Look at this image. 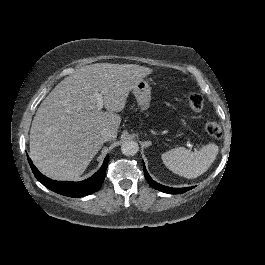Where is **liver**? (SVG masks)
I'll list each match as a JSON object with an SVG mask.
<instances>
[{
	"label": "liver",
	"mask_w": 265,
	"mask_h": 265,
	"mask_svg": "<svg viewBox=\"0 0 265 265\" xmlns=\"http://www.w3.org/2000/svg\"><path fill=\"white\" fill-rule=\"evenodd\" d=\"M152 69L135 64L94 63L62 80L42 101L29 135V155L46 177L74 181L102 147V131L116 132L121 111L132 87ZM103 95L97 109L93 92Z\"/></svg>",
	"instance_id": "1"
}]
</instances>
